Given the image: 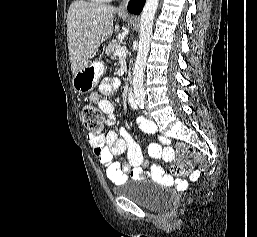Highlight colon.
<instances>
[{
	"label": "colon",
	"instance_id": "5ec220e1",
	"mask_svg": "<svg viewBox=\"0 0 257 237\" xmlns=\"http://www.w3.org/2000/svg\"><path fill=\"white\" fill-rule=\"evenodd\" d=\"M82 121L87 130L91 134L99 136L104 130L105 123L101 113L93 106H85L82 110ZM177 151L187 157H191L194 161L201 162V156L189 144H179ZM192 164L189 161L177 160L173 162L171 170L175 175H185L190 172Z\"/></svg>",
	"mask_w": 257,
	"mask_h": 237
}]
</instances>
